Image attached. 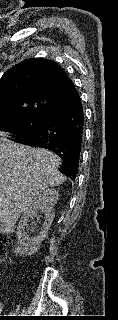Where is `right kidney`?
<instances>
[{
    "label": "right kidney",
    "instance_id": "right-kidney-1",
    "mask_svg": "<svg viewBox=\"0 0 118 320\" xmlns=\"http://www.w3.org/2000/svg\"><path fill=\"white\" fill-rule=\"evenodd\" d=\"M58 197L59 193L56 189L51 188L40 191L30 207L23 212L16 231L19 242L18 252L31 255L38 250L40 243L46 239L54 220L55 213L53 207L57 203ZM41 214L44 215L45 221L42 224L41 230L38 232L36 228L37 223H40ZM30 220L32 223L28 224ZM29 231L30 233L37 232V234L30 236Z\"/></svg>",
    "mask_w": 118,
    "mask_h": 320
}]
</instances>
